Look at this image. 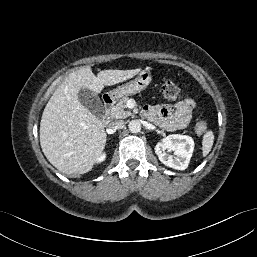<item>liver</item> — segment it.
<instances>
[{"label":"liver","instance_id":"obj_1","mask_svg":"<svg viewBox=\"0 0 257 257\" xmlns=\"http://www.w3.org/2000/svg\"><path fill=\"white\" fill-rule=\"evenodd\" d=\"M141 71L103 70L95 76L90 67L71 73L48 101L40 123V144L48 161L67 175L89 172L106 143L104 125L78 99L79 90L95 94L104 86L126 81Z\"/></svg>","mask_w":257,"mask_h":257}]
</instances>
